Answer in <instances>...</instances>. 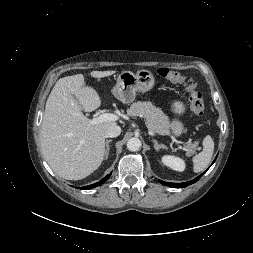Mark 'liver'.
Instances as JSON below:
<instances>
[{"mask_svg": "<svg viewBox=\"0 0 253 253\" xmlns=\"http://www.w3.org/2000/svg\"><path fill=\"white\" fill-rule=\"evenodd\" d=\"M114 70L92 71L91 77L111 76ZM101 106L96 90L86 85L83 74L60 78L45 106L41 125L43 155L60 177L80 180L101 165L105 156V131L114 121L91 124L82 111Z\"/></svg>", "mask_w": 253, "mask_h": 253, "instance_id": "6515ba94", "label": "liver"}]
</instances>
